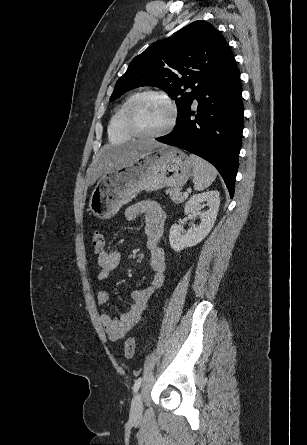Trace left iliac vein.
<instances>
[{
	"mask_svg": "<svg viewBox=\"0 0 307 445\" xmlns=\"http://www.w3.org/2000/svg\"><path fill=\"white\" fill-rule=\"evenodd\" d=\"M142 413H143L142 398L141 395L137 393L132 400L130 418L134 421L139 420L142 417Z\"/></svg>",
	"mask_w": 307,
	"mask_h": 445,
	"instance_id": "4c4485c4",
	"label": "left iliac vein"
}]
</instances>
